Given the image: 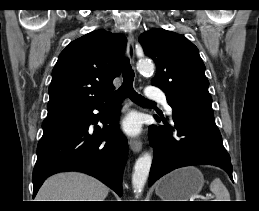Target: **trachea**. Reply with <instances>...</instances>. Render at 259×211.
Returning <instances> with one entry per match:
<instances>
[{
    "label": "trachea",
    "instance_id": "1",
    "mask_svg": "<svg viewBox=\"0 0 259 211\" xmlns=\"http://www.w3.org/2000/svg\"><path fill=\"white\" fill-rule=\"evenodd\" d=\"M123 83L117 91V95L121 98L129 97L132 101L138 104H155V102L146 99L138 94L133 88L134 71L128 59H125L122 68Z\"/></svg>",
    "mask_w": 259,
    "mask_h": 211
}]
</instances>
